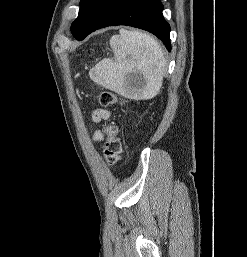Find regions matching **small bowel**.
I'll return each instance as SVG.
<instances>
[{
    "label": "small bowel",
    "mask_w": 247,
    "mask_h": 257,
    "mask_svg": "<svg viewBox=\"0 0 247 257\" xmlns=\"http://www.w3.org/2000/svg\"><path fill=\"white\" fill-rule=\"evenodd\" d=\"M109 117V112L103 109H97L93 112L92 114V118L95 122H99L103 119H106ZM103 139V135L101 132L97 131L95 132L94 136H93V140L95 142H99Z\"/></svg>",
    "instance_id": "1"
}]
</instances>
